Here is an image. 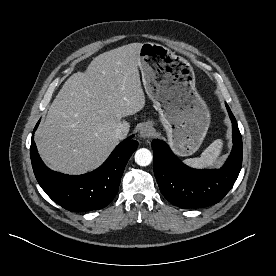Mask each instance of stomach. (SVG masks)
Segmentation results:
<instances>
[{"instance_id":"stomach-1","label":"stomach","mask_w":276,"mask_h":276,"mask_svg":"<svg viewBox=\"0 0 276 276\" xmlns=\"http://www.w3.org/2000/svg\"><path fill=\"white\" fill-rule=\"evenodd\" d=\"M139 67L148 97L155 103L172 151L190 156L201 146L210 113L195 87L190 63L168 48L145 42L139 50Z\"/></svg>"}]
</instances>
